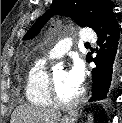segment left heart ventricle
<instances>
[{
	"label": "left heart ventricle",
	"mask_w": 122,
	"mask_h": 123,
	"mask_svg": "<svg viewBox=\"0 0 122 123\" xmlns=\"http://www.w3.org/2000/svg\"><path fill=\"white\" fill-rule=\"evenodd\" d=\"M53 77L56 82L58 94L63 99L73 98L81 88L69 81L66 70L60 69L55 71Z\"/></svg>",
	"instance_id": "left-heart-ventricle-1"
}]
</instances>
